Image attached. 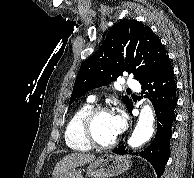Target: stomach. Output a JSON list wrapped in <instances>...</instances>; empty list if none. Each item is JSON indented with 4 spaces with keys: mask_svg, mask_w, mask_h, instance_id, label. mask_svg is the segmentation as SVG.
<instances>
[{
    "mask_svg": "<svg viewBox=\"0 0 194 178\" xmlns=\"http://www.w3.org/2000/svg\"><path fill=\"white\" fill-rule=\"evenodd\" d=\"M132 165L125 156L104 154L91 162L87 168V175L91 178H110L127 171ZM57 178H83L80 170L70 169Z\"/></svg>",
    "mask_w": 194,
    "mask_h": 178,
    "instance_id": "1",
    "label": "stomach"
}]
</instances>
